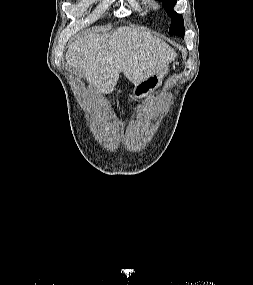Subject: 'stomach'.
I'll return each instance as SVG.
<instances>
[{
    "label": "stomach",
    "instance_id": "1",
    "mask_svg": "<svg viewBox=\"0 0 253 285\" xmlns=\"http://www.w3.org/2000/svg\"><path fill=\"white\" fill-rule=\"evenodd\" d=\"M169 66H165L162 70L150 75L139 85L135 86L134 97L137 99L146 98L151 95L159 86H161L165 76L168 74Z\"/></svg>",
    "mask_w": 253,
    "mask_h": 285
}]
</instances>
